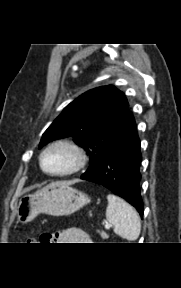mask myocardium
Masks as SVG:
<instances>
[{"mask_svg":"<svg viewBox=\"0 0 181 288\" xmlns=\"http://www.w3.org/2000/svg\"><path fill=\"white\" fill-rule=\"evenodd\" d=\"M54 148H64L69 150L74 156V164L71 168L62 172H50L44 166L45 155ZM87 156L84 149L75 141L70 139H59L48 144L41 152L39 163L42 171L53 177H65L79 172L86 164Z\"/></svg>","mask_w":181,"mask_h":288,"instance_id":"obj_1","label":"myocardium"}]
</instances>
